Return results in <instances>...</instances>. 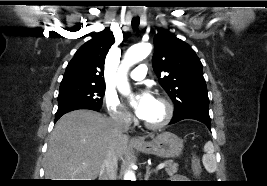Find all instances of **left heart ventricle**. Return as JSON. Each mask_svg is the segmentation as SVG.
I'll return each mask as SVG.
<instances>
[{
	"mask_svg": "<svg viewBox=\"0 0 267 186\" xmlns=\"http://www.w3.org/2000/svg\"><path fill=\"white\" fill-rule=\"evenodd\" d=\"M164 113H165V110H164L163 105L156 100L150 111V114L144 121L149 122V123H156L163 118Z\"/></svg>",
	"mask_w": 267,
	"mask_h": 186,
	"instance_id": "b2bd125f",
	"label": "left heart ventricle"
}]
</instances>
